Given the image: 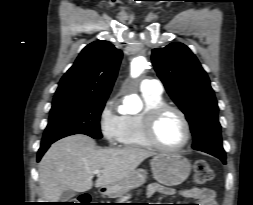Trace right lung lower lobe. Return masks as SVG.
<instances>
[{"label": "right lung lower lobe", "instance_id": "98d812e1", "mask_svg": "<svg viewBox=\"0 0 253 205\" xmlns=\"http://www.w3.org/2000/svg\"><path fill=\"white\" fill-rule=\"evenodd\" d=\"M51 144L52 143L41 144L40 149L38 151L37 161H40L41 157L43 156V154L46 152V150L49 148Z\"/></svg>", "mask_w": 253, "mask_h": 205}]
</instances>
